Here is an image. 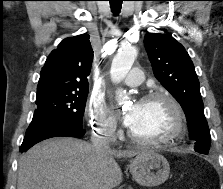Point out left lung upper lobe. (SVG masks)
I'll return each instance as SVG.
<instances>
[{
  "label": "left lung upper lobe",
  "mask_w": 223,
  "mask_h": 189,
  "mask_svg": "<svg viewBox=\"0 0 223 189\" xmlns=\"http://www.w3.org/2000/svg\"><path fill=\"white\" fill-rule=\"evenodd\" d=\"M144 46L156 79L185 112L190 137L196 141L194 150L208 154L210 131L204 115L199 80L187 51L173 37L158 33L146 34Z\"/></svg>",
  "instance_id": "5c2ea615"
}]
</instances>
